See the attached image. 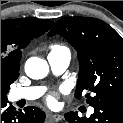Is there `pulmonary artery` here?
<instances>
[{
	"instance_id": "obj_1",
	"label": "pulmonary artery",
	"mask_w": 123,
	"mask_h": 123,
	"mask_svg": "<svg viewBox=\"0 0 123 123\" xmlns=\"http://www.w3.org/2000/svg\"><path fill=\"white\" fill-rule=\"evenodd\" d=\"M71 60L70 52L67 49L51 51L48 55V62L55 74L63 73L69 66ZM44 89L42 87H25L14 89L11 92V97L14 101L27 100L32 101L39 98ZM93 112V109L90 110Z\"/></svg>"
}]
</instances>
